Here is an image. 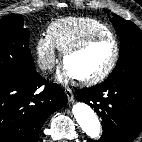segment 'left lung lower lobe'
<instances>
[{"label": "left lung lower lobe", "instance_id": "obj_1", "mask_svg": "<svg viewBox=\"0 0 142 142\" xmlns=\"http://www.w3.org/2000/svg\"><path fill=\"white\" fill-rule=\"evenodd\" d=\"M78 94L77 100L89 104L102 119V137L88 142H132L141 132L142 80L102 82Z\"/></svg>", "mask_w": 142, "mask_h": 142}]
</instances>
